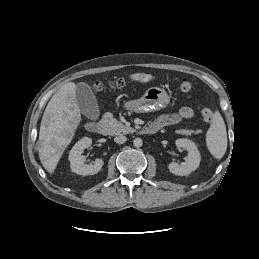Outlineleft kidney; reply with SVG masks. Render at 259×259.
<instances>
[{
    "instance_id": "obj_1",
    "label": "left kidney",
    "mask_w": 259,
    "mask_h": 259,
    "mask_svg": "<svg viewBox=\"0 0 259 259\" xmlns=\"http://www.w3.org/2000/svg\"><path fill=\"white\" fill-rule=\"evenodd\" d=\"M176 146L184 148L188 152V157L185 162L180 165L176 162H171L168 165V169L171 173L179 176H185L195 171L200 164V152L198 151L195 143L186 138H180L176 140Z\"/></svg>"
}]
</instances>
